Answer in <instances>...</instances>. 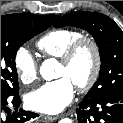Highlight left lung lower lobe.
<instances>
[{
	"mask_svg": "<svg viewBox=\"0 0 123 123\" xmlns=\"http://www.w3.org/2000/svg\"><path fill=\"white\" fill-rule=\"evenodd\" d=\"M76 113L79 123H123V92L84 97Z\"/></svg>",
	"mask_w": 123,
	"mask_h": 123,
	"instance_id": "0a47b994",
	"label": "left lung lower lobe"
}]
</instances>
